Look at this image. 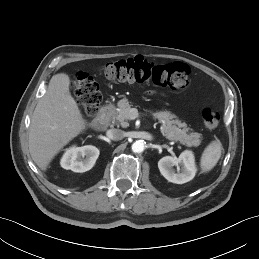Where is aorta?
I'll use <instances>...</instances> for the list:
<instances>
[{
	"label": "aorta",
	"mask_w": 259,
	"mask_h": 259,
	"mask_svg": "<svg viewBox=\"0 0 259 259\" xmlns=\"http://www.w3.org/2000/svg\"><path fill=\"white\" fill-rule=\"evenodd\" d=\"M145 149V142L143 140H137L132 144V151L135 153H141Z\"/></svg>",
	"instance_id": "1"
}]
</instances>
